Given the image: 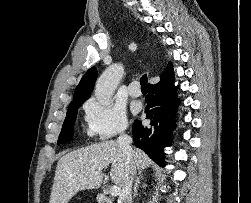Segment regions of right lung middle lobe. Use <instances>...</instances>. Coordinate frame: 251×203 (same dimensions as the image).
<instances>
[{"label": "right lung middle lobe", "mask_w": 251, "mask_h": 203, "mask_svg": "<svg viewBox=\"0 0 251 203\" xmlns=\"http://www.w3.org/2000/svg\"><path fill=\"white\" fill-rule=\"evenodd\" d=\"M82 103L83 102H77L69 105L67 115L63 123L59 139L57 141L58 144L71 141L73 137V126L76 120L77 110L79 108V105Z\"/></svg>", "instance_id": "obj_1"}]
</instances>
